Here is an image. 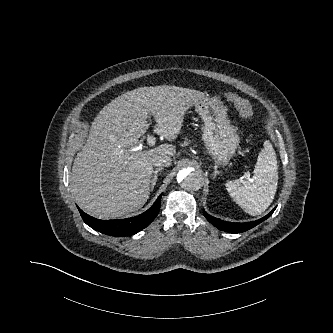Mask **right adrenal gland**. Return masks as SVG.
Masks as SVG:
<instances>
[{
	"instance_id": "1",
	"label": "right adrenal gland",
	"mask_w": 333,
	"mask_h": 333,
	"mask_svg": "<svg viewBox=\"0 0 333 333\" xmlns=\"http://www.w3.org/2000/svg\"><path fill=\"white\" fill-rule=\"evenodd\" d=\"M162 170V168H157L155 171H154V175H153V179H152V183H151V191H153L155 185H156V182H157V179H158V173Z\"/></svg>"
}]
</instances>
